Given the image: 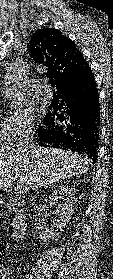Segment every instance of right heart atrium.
<instances>
[{
	"label": "right heart atrium",
	"instance_id": "right-heart-atrium-1",
	"mask_svg": "<svg viewBox=\"0 0 113 279\" xmlns=\"http://www.w3.org/2000/svg\"><path fill=\"white\" fill-rule=\"evenodd\" d=\"M7 136L12 141H19L30 136L35 130L33 112L28 107H15L3 117Z\"/></svg>",
	"mask_w": 113,
	"mask_h": 279
}]
</instances>
